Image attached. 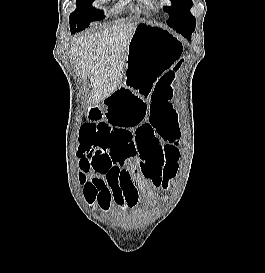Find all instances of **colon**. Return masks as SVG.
Here are the masks:
<instances>
[{
	"mask_svg": "<svg viewBox=\"0 0 265 273\" xmlns=\"http://www.w3.org/2000/svg\"><path fill=\"white\" fill-rule=\"evenodd\" d=\"M174 73L169 71L165 73L157 82L152 94V105L149 108V127L154 128L155 132H159L158 138L165 141L164 145V166L162 174H154L155 182L166 188L170 180H172L178 170V161L180 151L176 146H180V127L178 117L170 104V99L173 96L172 82ZM113 126V123H110ZM109 129H80V156H92L94 166L96 168H105L106 159L103 156L105 149L110 144L108 135ZM82 169L88 168L84 161H81ZM89 193L92 192V187L88 184Z\"/></svg>",
	"mask_w": 265,
	"mask_h": 273,
	"instance_id": "colon-1",
	"label": "colon"
}]
</instances>
